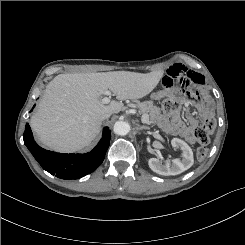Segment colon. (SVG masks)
<instances>
[{"label": "colon", "mask_w": 245, "mask_h": 245, "mask_svg": "<svg viewBox=\"0 0 245 245\" xmlns=\"http://www.w3.org/2000/svg\"><path fill=\"white\" fill-rule=\"evenodd\" d=\"M178 100L174 97L166 96L161 101L163 110L167 113H173L178 108ZM215 121L212 118H206L202 124L195 130L194 136L199 144L196 151V157L199 162L203 161L207 156L206 146L210 142V136L215 129Z\"/></svg>", "instance_id": "colon-1"}]
</instances>
